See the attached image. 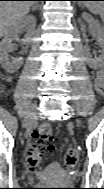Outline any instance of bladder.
I'll return each instance as SVG.
<instances>
[{"label": "bladder", "instance_id": "1", "mask_svg": "<svg viewBox=\"0 0 104 189\" xmlns=\"http://www.w3.org/2000/svg\"><path fill=\"white\" fill-rule=\"evenodd\" d=\"M62 174V169L59 164L52 163L47 166L43 173L39 176L42 179H52L60 176Z\"/></svg>", "mask_w": 104, "mask_h": 189}]
</instances>
